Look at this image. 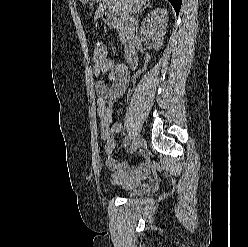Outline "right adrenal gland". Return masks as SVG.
Listing matches in <instances>:
<instances>
[{
  "label": "right adrenal gland",
  "instance_id": "1",
  "mask_svg": "<svg viewBox=\"0 0 248 247\" xmlns=\"http://www.w3.org/2000/svg\"><path fill=\"white\" fill-rule=\"evenodd\" d=\"M150 7H151L150 3H147L146 5H144V7L138 11L137 17H138L139 14H141L144 11H146Z\"/></svg>",
  "mask_w": 248,
  "mask_h": 247
}]
</instances>
